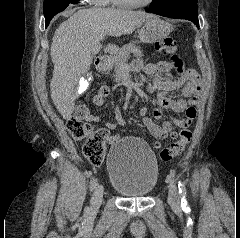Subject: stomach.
Listing matches in <instances>:
<instances>
[{
    "mask_svg": "<svg viewBox=\"0 0 240 238\" xmlns=\"http://www.w3.org/2000/svg\"><path fill=\"white\" fill-rule=\"evenodd\" d=\"M171 25L159 18L147 21L139 30V39L142 43H154L169 35Z\"/></svg>",
    "mask_w": 240,
    "mask_h": 238,
    "instance_id": "1",
    "label": "stomach"
}]
</instances>
